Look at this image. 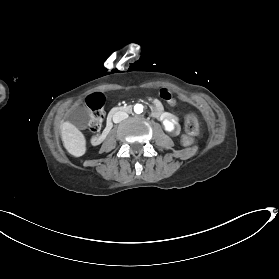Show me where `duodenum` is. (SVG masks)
<instances>
[{"mask_svg": "<svg viewBox=\"0 0 279 279\" xmlns=\"http://www.w3.org/2000/svg\"><path fill=\"white\" fill-rule=\"evenodd\" d=\"M125 111H129V106L115 107V108H111V111H107V119H106L107 128H105L104 131L101 132L100 136H97V134H94L93 146H99L100 143H103L107 134H109V129H112L113 114H116L119 112H125Z\"/></svg>", "mask_w": 279, "mask_h": 279, "instance_id": "obj_1", "label": "duodenum"}]
</instances>
